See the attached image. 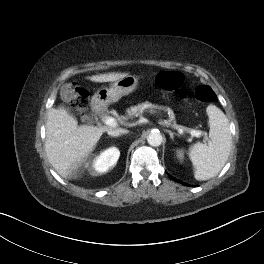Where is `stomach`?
<instances>
[{"label":"stomach","mask_w":264,"mask_h":264,"mask_svg":"<svg viewBox=\"0 0 264 264\" xmlns=\"http://www.w3.org/2000/svg\"><path fill=\"white\" fill-rule=\"evenodd\" d=\"M138 86V78L127 75L110 85L99 89L93 96V102L99 107L106 106L110 103L117 102L122 96L133 92Z\"/></svg>","instance_id":"stomach-1"}]
</instances>
